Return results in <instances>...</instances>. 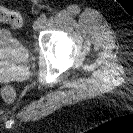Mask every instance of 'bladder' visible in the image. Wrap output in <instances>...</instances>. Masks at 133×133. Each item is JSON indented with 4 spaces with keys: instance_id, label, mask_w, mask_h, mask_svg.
I'll list each match as a JSON object with an SVG mask.
<instances>
[{
    "instance_id": "1",
    "label": "bladder",
    "mask_w": 133,
    "mask_h": 133,
    "mask_svg": "<svg viewBox=\"0 0 133 133\" xmlns=\"http://www.w3.org/2000/svg\"><path fill=\"white\" fill-rule=\"evenodd\" d=\"M30 57L29 48L13 32L0 28V63H25Z\"/></svg>"
}]
</instances>
